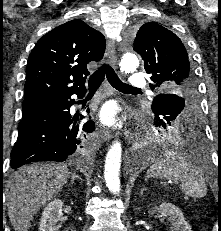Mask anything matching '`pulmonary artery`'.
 <instances>
[{
	"label": "pulmonary artery",
	"instance_id": "e3ab8cb5",
	"mask_svg": "<svg viewBox=\"0 0 221 231\" xmlns=\"http://www.w3.org/2000/svg\"><path fill=\"white\" fill-rule=\"evenodd\" d=\"M147 84L146 78L139 74L135 73L132 75L131 79L129 80V86L137 88V87H144Z\"/></svg>",
	"mask_w": 221,
	"mask_h": 231
}]
</instances>
